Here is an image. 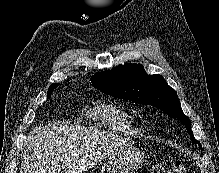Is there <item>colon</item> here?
Listing matches in <instances>:
<instances>
[{"instance_id":"1","label":"colon","mask_w":219,"mask_h":173,"mask_svg":"<svg viewBox=\"0 0 219 173\" xmlns=\"http://www.w3.org/2000/svg\"><path fill=\"white\" fill-rule=\"evenodd\" d=\"M155 173H186V166L181 159H167L158 163Z\"/></svg>"}]
</instances>
